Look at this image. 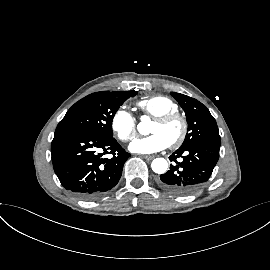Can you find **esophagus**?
Returning <instances> with one entry per match:
<instances>
[{"label":"esophagus","instance_id":"esophagus-1","mask_svg":"<svg viewBox=\"0 0 270 270\" xmlns=\"http://www.w3.org/2000/svg\"><path fill=\"white\" fill-rule=\"evenodd\" d=\"M143 158H145L147 160H151L154 158V155H143Z\"/></svg>","mask_w":270,"mask_h":270}]
</instances>
